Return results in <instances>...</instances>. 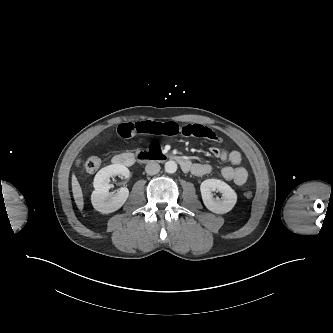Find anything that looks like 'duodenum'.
<instances>
[{
    "label": "duodenum",
    "mask_w": 333,
    "mask_h": 333,
    "mask_svg": "<svg viewBox=\"0 0 333 333\" xmlns=\"http://www.w3.org/2000/svg\"><path fill=\"white\" fill-rule=\"evenodd\" d=\"M136 159L141 161H149V160H173L176 161L182 171L191 172L194 168V164L190 162L188 159L181 155H173V154H163V153H154L146 150H142L137 153V156L133 155L130 152L121 153L114 157L113 162L117 165L131 166L135 162Z\"/></svg>",
    "instance_id": "duodenum-1"
}]
</instances>
